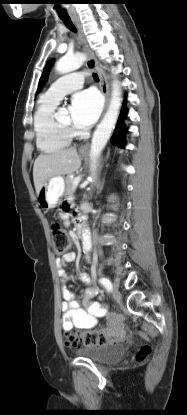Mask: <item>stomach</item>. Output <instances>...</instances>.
I'll return each instance as SVG.
<instances>
[{
	"label": "stomach",
	"instance_id": "obj_1",
	"mask_svg": "<svg viewBox=\"0 0 187 415\" xmlns=\"http://www.w3.org/2000/svg\"><path fill=\"white\" fill-rule=\"evenodd\" d=\"M65 191V182L62 176L48 179L37 195L38 205L44 210L55 208Z\"/></svg>",
	"mask_w": 187,
	"mask_h": 415
}]
</instances>
